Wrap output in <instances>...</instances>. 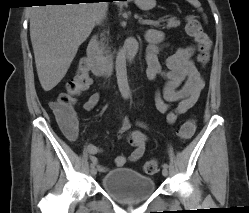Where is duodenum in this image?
<instances>
[{
  "label": "duodenum",
  "instance_id": "duodenum-1",
  "mask_svg": "<svg viewBox=\"0 0 249 213\" xmlns=\"http://www.w3.org/2000/svg\"><path fill=\"white\" fill-rule=\"evenodd\" d=\"M137 42L134 39L128 41L125 46V52L129 60H133L137 52ZM85 62L94 74L100 77H106L112 72V64L106 60L100 53L99 41L97 36H92L85 57Z\"/></svg>",
  "mask_w": 249,
  "mask_h": 213
}]
</instances>
